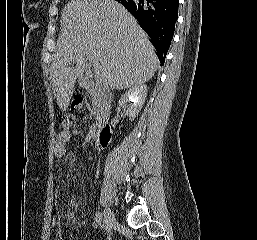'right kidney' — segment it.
I'll list each match as a JSON object with an SVG mask.
<instances>
[{
	"label": "right kidney",
	"mask_w": 257,
	"mask_h": 240,
	"mask_svg": "<svg viewBox=\"0 0 257 240\" xmlns=\"http://www.w3.org/2000/svg\"><path fill=\"white\" fill-rule=\"evenodd\" d=\"M147 92H148V88L146 85H138V86H134L132 88H130L119 100V106L121 108H126L127 107V103H129V106L127 108V113L130 117V120H134L144 102L147 96Z\"/></svg>",
	"instance_id": "ca27d5eb"
}]
</instances>
